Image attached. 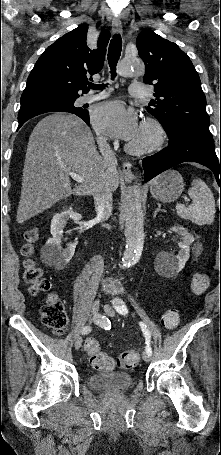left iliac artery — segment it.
Instances as JSON below:
<instances>
[{
  "label": "left iliac artery",
  "instance_id": "obj_1",
  "mask_svg": "<svg viewBox=\"0 0 221 455\" xmlns=\"http://www.w3.org/2000/svg\"><path fill=\"white\" fill-rule=\"evenodd\" d=\"M113 305H114L115 310L118 313H120L122 315H126L128 313L127 306L125 305V303L123 302L122 299H120V298L113 299ZM140 327H141V330H142L145 340H146V353L151 356L152 349L150 347V338H151L150 332L147 329V326L143 322H140Z\"/></svg>",
  "mask_w": 221,
  "mask_h": 455
}]
</instances>
